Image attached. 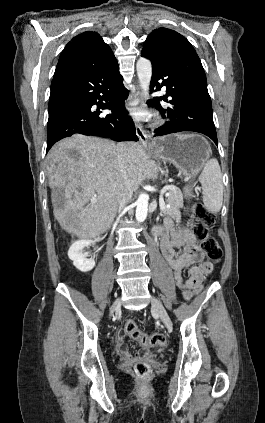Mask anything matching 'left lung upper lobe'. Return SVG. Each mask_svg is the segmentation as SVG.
Returning a JSON list of instances; mask_svg holds the SVG:
<instances>
[{
  "label": "left lung upper lobe",
  "instance_id": "obj_1",
  "mask_svg": "<svg viewBox=\"0 0 265 423\" xmlns=\"http://www.w3.org/2000/svg\"><path fill=\"white\" fill-rule=\"evenodd\" d=\"M176 38H185L174 30L167 28H158L152 31L146 39L145 45L141 54L153 55L160 51H165L170 47L173 40Z\"/></svg>",
  "mask_w": 265,
  "mask_h": 423
}]
</instances>
